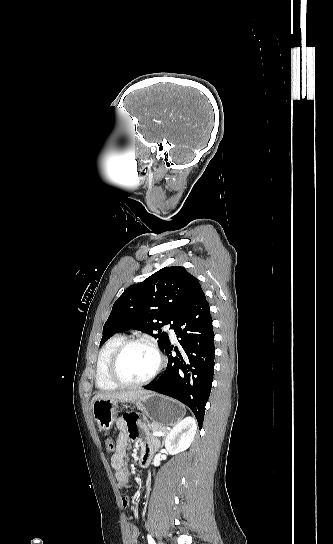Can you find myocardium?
I'll return each mask as SVG.
<instances>
[{"mask_svg": "<svg viewBox=\"0 0 333 544\" xmlns=\"http://www.w3.org/2000/svg\"><path fill=\"white\" fill-rule=\"evenodd\" d=\"M134 345H142L149 348L156 357V366L154 370L152 371V373L147 378L137 382H128L124 380L119 374V362L124 352L129 347ZM164 365H165L164 356L162 355L158 346L153 341L149 339H145V338H132V339H126L115 349V351L113 352L109 360L107 373H108L109 379L117 386L125 387V388H136V387L145 386L151 383L161 372Z\"/></svg>", "mask_w": 333, "mask_h": 544, "instance_id": "1", "label": "myocardium"}]
</instances>
